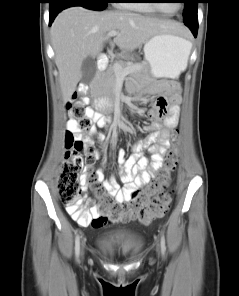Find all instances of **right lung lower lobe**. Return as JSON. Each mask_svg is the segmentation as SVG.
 <instances>
[{"label": "right lung lower lobe", "instance_id": "1", "mask_svg": "<svg viewBox=\"0 0 239 296\" xmlns=\"http://www.w3.org/2000/svg\"><path fill=\"white\" fill-rule=\"evenodd\" d=\"M67 5L64 4L63 0H55L50 4V22L49 25H51L52 21L56 17V15L63 9H65Z\"/></svg>", "mask_w": 239, "mask_h": 296}]
</instances>
